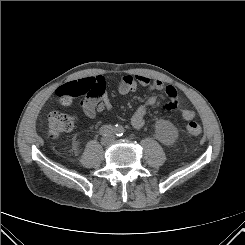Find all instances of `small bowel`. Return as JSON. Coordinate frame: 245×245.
Here are the masks:
<instances>
[{"instance_id": "obj_1", "label": "small bowel", "mask_w": 245, "mask_h": 245, "mask_svg": "<svg viewBox=\"0 0 245 245\" xmlns=\"http://www.w3.org/2000/svg\"><path fill=\"white\" fill-rule=\"evenodd\" d=\"M88 79L95 82L99 94L95 97H89L83 100L82 110L88 118H94L98 112L108 111L114 115V109L106 94L105 80L102 76L97 75ZM138 87L145 88L150 94L143 104H141L130 118V123L135 129H141L145 125V116L149 108L155 106L158 102V96L154 92H163L168 99L164 107L168 110L175 109L181 104V99L171 85L165 86L160 80H153L145 75H126L119 79L117 88L121 95H127L135 91ZM183 119L189 121L195 118L196 113L192 109L184 108L181 111ZM118 117V116H117ZM119 118V117H118Z\"/></svg>"}]
</instances>
